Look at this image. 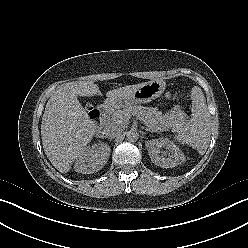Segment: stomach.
Listing matches in <instances>:
<instances>
[{
    "mask_svg": "<svg viewBox=\"0 0 248 248\" xmlns=\"http://www.w3.org/2000/svg\"><path fill=\"white\" fill-rule=\"evenodd\" d=\"M166 83L163 80L155 79L143 83L135 89L130 95L123 98L107 99L106 103L120 109L133 104H144L159 97L165 90Z\"/></svg>",
    "mask_w": 248,
    "mask_h": 248,
    "instance_id": "obj_1",
    "label": "stomach"
}]
</instances>
